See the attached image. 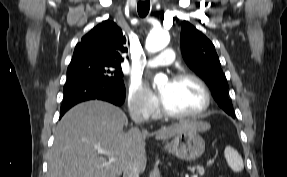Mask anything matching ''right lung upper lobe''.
I'll return each instance as SVG.
<instances>
[{
    "mask_svg": "<svg viewBox=\"0 0 287 177\" xmlns=\"http://www.w3.org/2000/svg\"><path fill=\"white\" fill-rule=\"evenodd\" d=\"M126 38L116 23L105 20L95 26L75 47L70 63L100 60L121 67L122 53L127 52Z\"/></svg>",
    "mask_w": 287,
    "mask_h": 177,
    "instance_id": "obj_1",
    "label": "right lung upper lobe"
}]
</instances>
